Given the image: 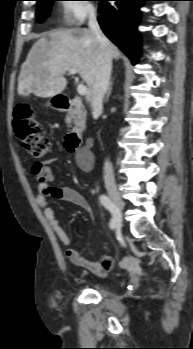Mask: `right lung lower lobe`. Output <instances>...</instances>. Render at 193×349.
I'll list each match as a JSON object with an SVG mask.
<instances>
[{"label": "right lung lower lobe", "instance_id": "obj_1", "mask_svg": "<svg viewBox=\"0 0 193 349\" xmlns=\"http://www.w3.org/2000/svg\"><path fill=\"white\" fill-rule=\"evenodd\" d=\"M102 1L99 6V24L106 36L113 41L134 63L138 60L140 49L139 34L136 29L140 18L139 7L149 0H109Z\"/></svg>", "mask_w": 193, "mask_h": 349}]
</instances>
